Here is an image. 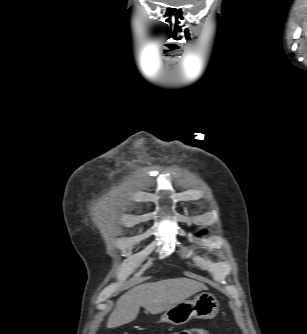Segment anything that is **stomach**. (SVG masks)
<instances>
[{"instance_id": "0dacf381", "label": "stomach", "mask_w": 307, "mask_h": 334, "mask_svg": "<svg viewBox=\"0 0 307 334\" xmlns=\"http://www.w3.org/2000/svg\"><path fill=\"white\" fill-rule=\"evenodd\" d=\"M218 311L217 299L212 294L203 292L196 295L193 300H185L167 309L161 316L160 322L183 325L193 318L211 319Z\"/></svg>"}]
</instances>
